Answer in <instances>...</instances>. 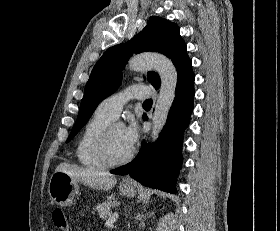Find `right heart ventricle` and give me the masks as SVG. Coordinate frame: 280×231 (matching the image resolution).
<instances>
[{"instance_id": "e07e8e85", "label": "right heart ventricle", "mask_w": 280, "mask_h": 231, "mask_svg": "<svg viewBox=\"0 0 280 231\" xmlns=\"http://www.w3.org/2000/svg\"><path fill=\"white\" fill-rule=\"evenodd\" d=\"M113 121L108 115L96 111L85 124L75 145V157L86 170H102L107 166L97 157L96 145L104 127Z\"/></svg>"}]
</instances>
